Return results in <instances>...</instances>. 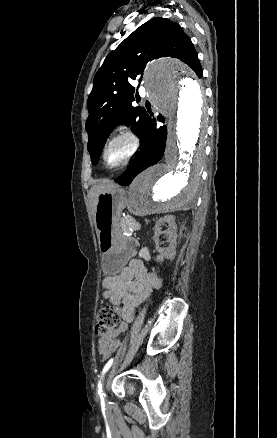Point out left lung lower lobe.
<instances>
[{
    "mask_svg": "<svg viewBox=\"0 0 277 438\" xmlns=\"http://www.w3.org/2000/svg\"><path fill=\"white\" fill-rule=\"evenodd\" d=\"M157 119L164 122V117L159 115ZM144 149L139 157L119 176L115 181L121 185H129L132 180L143 170L157 164L163 157L167 139V127H156V119L150 115L149 130L145 134Z\"/></svg>",
    "mask_w": 277,
    "mask_h": 438,
    "instance_id": "obj_1",
    "label": "left lung lower lobe"
}]
</instances>
